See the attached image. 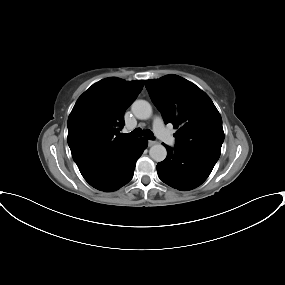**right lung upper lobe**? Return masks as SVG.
I'll use <instances>...</instances> for the list:
<instances>
[{
    "label": "right lung upper lobe",
    "mask_w": 285,
    "mask_h": 285,
    "mask_svg": "<svg viewBox=\"0 0 285 285\" xmlns=\"http://www.w3.org/2000/svg\"><path fill=\"white\" fill-rule=\"evenodd\" d=\"M143 86V80L106 78L78 98L68 118L67 140L79 170L134 140L121 138L118 129Z\"/></svg>",
    "instance_id": "obj_1"
}]
</instances>
